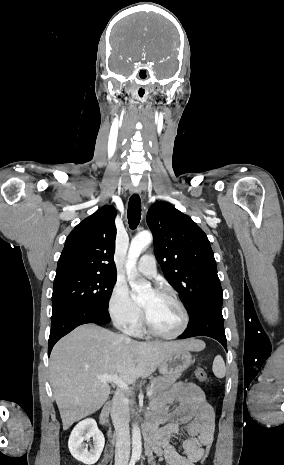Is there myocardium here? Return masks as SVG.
Wrapping results in <instances>:
<instances>
[{
    "label": "myocardium",
    "instance_id": "myocardium-1",
    "mask_svg": "<svg viewBox=\"0 0 284 465\" xmlns=\"http://www.w3.org/2000/svg\"><path fill=\"white\" fill-rule=\"evenodd\" d=\"M156 294L166 297L167 299H169L171 302H173L178 307V309L180 310L181 315H182L181 327L177 332H175L173 334H169V335L159 334V333L155 332L150 327V325L148 324L149 319L147 318V316L142 311V318H141V323H140L141 328L150 337L160 339V340H174V339H177V338L181 337L186 332V330H187V328L189 326V321H190L189 314H188V311H187L186 307L179 300V298L177 296H175L174 294H172L168 290L160 289V290L156 291Z\"/></svg>",
    "mask_w": 284,
    "mask_h": 465
}]
</instances>
